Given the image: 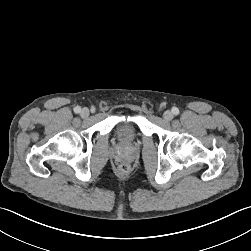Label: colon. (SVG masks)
<instances>
[{
  "label": "colon",
  "mask_w": 251,
  "mask_h": 251,
  "mask_svg": "<svg viewBox=\"0 0 251 251\" xmlns=\"http://www.w3.org/2000/svg\"><path fill=\"white\" fill-rule=\"evenodd\" d=\"M127 169H128V166H127L126 164L123 163V164L120 165V170H121L122 172H126Z\"/></svg>",
  "instance_id": "1"
}]
</instances>
